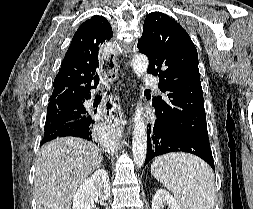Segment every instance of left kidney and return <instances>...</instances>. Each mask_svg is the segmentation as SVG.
<instances>
[{"instance_id":"1","label":"left kidney","mask_w":253,"mask_h":209,"mask_svg":"<svg viewBox=\"0 0 253 209\" xmlns=\"http://www.w3.org/2000/svg\"><path fill=\"white\" fill-rule=\"evenodd\" d=\"M165 205H168L169 209H182L169 192L159 189L153 196L152 209H163Z\"/></svg>"}]
</instances>
